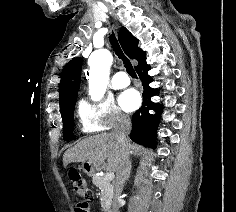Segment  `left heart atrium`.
<instances>
[{
  "label": "left heart atrium",
  "mask_w": 236,
  "mask_h": 212,
  "mask_svg": "<svg viewBox=\"0 0 236 212\" xmlns=\"http://www.w3.org/2000/svg\"><path fill=\"white\" fill-rule=\"evenodd\" d=\"M119 103L125 111H133L137 109L141 103L140 94L133 88L127 89L120 95Z\"/></svg>",
  "instance_id": "39dd6f15"
}]
</instances>
